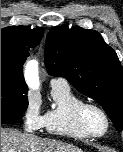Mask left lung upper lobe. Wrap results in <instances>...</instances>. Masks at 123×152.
Returning a JSON list of instances; mask_svg holds the SVG:
<instances>
[{
    "mask_svg": "<svg viewBox=\"0 0 123 152\" xmlns=\"http://www.w3.org/2000/svg\"><path fill=\"white\" fill-rule=\"evenodd\" d=\"M45 65L51 76L66 78L96 100L122 131L123 68L98 32L64 25L52 28L46 40Z\"/></svg>",
    "mask_w": 123,
    "mask_h": 152,
    "instance_id": "left-lung-upper-lobe-1",
    "label": "left lung upper lobe"
}]
</instances>
